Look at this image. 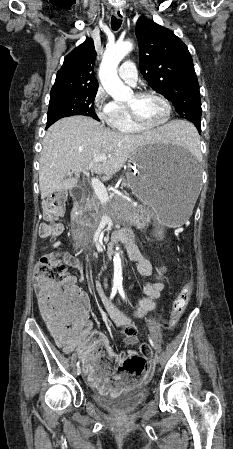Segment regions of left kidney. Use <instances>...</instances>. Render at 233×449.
<instances>
[{
	"label": "left kidney",
	"mask_w": 233,
	"mask_h": 449,
	"mask_svg": "<svg viewBox=\"0 0 233 449\" xmlns=\"http://www.w3.org/2000/svg\"><path fill=\"white\" fill-rule=\"evenodd\" d=\"M157 271H158L159 274L161 273V271H159V270H157ZM163 271H164V268H163Z\"/></svg>",
	"instance_id": "1"
}]
</instances>
